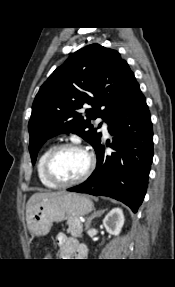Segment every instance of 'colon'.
<instances>
[{"label": "colon", "mask_w": 175, "mask_h": 287, "mask_svg": "<svg viewBox=\"0 0 175 287\" xmlns=\"http://www.w3.org/2000/svg\"><path fill=\"white\" fill-rule=\"evenodd\" d=\"M47 256H49V252H47Z\"/></svg>", "instance_id": "5ec220e1"}]
</instances>
